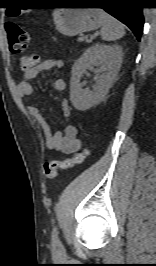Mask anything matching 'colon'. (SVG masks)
Listing matches in <instances>:
<instances>
[{
    "instance_id": "obj_1",
    "label": "colon",
    "mask_w": 156,
    "mask_h": 266,
    "mask_svg": "<svg viewBox=\"0 0 156 266\" xmlns=\"http://www.w3.org/2000/svg\"><path fill=\"white\" fill-rule=\"evenodd\" d=\"M6 33L9 50L14 53H22L29 44L28 33L16 24L6 25ZM40 61L38 55L25 56L21 59V68L29 70L35 67ZM90 154V148L87 146L82 151L75 152L71 157L64 160H51L44 163L43 169L45 176L52 180L56 178L59 170H65L82 163Z\"/></svg>"
}]
</instances>
